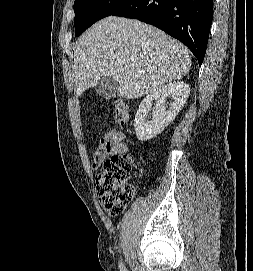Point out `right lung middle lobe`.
I'll return each instance as SVG.
<instances>
[{
  "mask_svg": "<svg viewBox=\"0 0 253 271\" xmlns=\"http://www.w3.org/2000/svg\"><path fill=\"white\" fill-rule=\"evenodd\" d=\"M127 1L128 0H75V35L79 36L96 21L112 15Z\"/></svg>",
  "mask_w": 253,
  "mask_h": 271,
  "instance_id": "right-lung-middle-lobe-1",
  "label": "right lung middle lobe"
}]
</instances>
